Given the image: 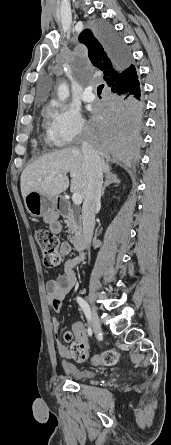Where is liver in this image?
Listing matches in <instances>:
<instances>
[{
    "label": "liver",
    "mask_w": 171,
    "mask_h": 445,
    "mask_svg": "<svg viewBox=\"0 0 171 445\" xmlns=\"http://www.w3.org/2000/svg\"><path fill=\"white\" fill-rule=\"evenodd\" d=\"M102 171L110 174L111 167L101 159ZM70 173V190L85 197L88 185V171L82 151L68 147L46 154L28 165L21 175V194L23 198L29 192L57 197L69 187L67 177L58 175Z\"/></svg>",
    "instance_id": "obj_1"
}]
</instances>
